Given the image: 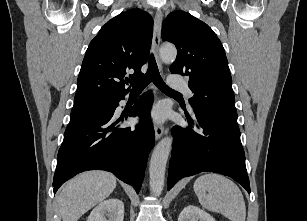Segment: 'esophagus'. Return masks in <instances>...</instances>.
Instances as JSON below:
<instances>
[{"mask_svg": "<svg viewBox=\"0 0 307 221\" xmlns=\"http://www.w3.org/2000/svg\"><path fill=\"white\" fill-rule=\"evenodd\" d=\"M162 12L158 9L155 13L154 17V31H153V41H152V49L156 56L158 65L162 68V64L158 58V50L161 41V25H162ZM155 138L156 140L160 139L163 133L165 132V128L158 123L154 124Z\"/></svg>", "mask_w": 307, "mask_h": 221, "instance_id": "esophagus-1", "label": "esophagus"}]
</instances>
